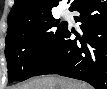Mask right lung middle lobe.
<instances>
[{"label": "right lung middle lobe", "mask_w": 107, "mask_h": 89, "mask_svg": "<svg viewBox=\"0 0 107 89\" xmlns=\"http://www.w3.org/2000/svg\"><path fill=\"white\" fill-rule=\"evenodd\" d=\"M67 26L53 16L9 26L5 47L8 80L32 77L56 48Z\"/></svg>", "instance_id": "dd1d6c3e"}]
</instances>
